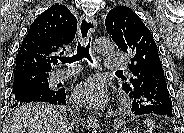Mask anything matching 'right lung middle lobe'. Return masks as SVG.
<instances>
[{
  "instance_id": "1",
  "label": "right lung middle lobe",
  "mask_w": 184,
  "mask_h": 133,
  "mask_svg": "<svg viewBox=\"0 0 184 133\" xmlns=\"http://www.w3.org/2000/svg\"><path fill=\"white\" fill-rule=\"evenodd\" d=\"M48 76L31 73L16 74L14 75L12 94L25 89H32L43 94L54 92L55 90L49 87ZM25 105L12 103L10 108L16 111Z\"/></svg>"
}]
</instances>
